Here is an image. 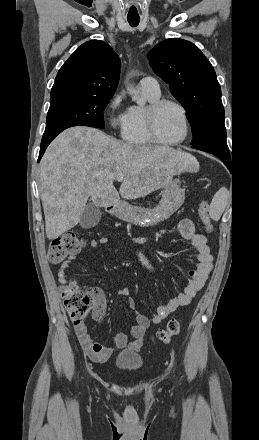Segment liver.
Here are the masks:
<instances>
[{
	"instance_id": "6515ba94",
	"label": "liver",
	"mask_w": 259,
	"mask_h": 440,
	"mask_svg": "<svg viewBox=\"0 0 259 440\" xmlns=\"http://www.w3.org/2000/svg\"><path fill=\"white\" fill-rule=\"evenodd\" d=\"M199 163L189 154L167 146L124 143L102 131L76 126L63 131L47 148L40 162V195L45 231L53 240L79 222L90 197L97 207L118 204L165 187ZM118 174L124 179L119 192Z\"/></svg>"
}]
</instances>
